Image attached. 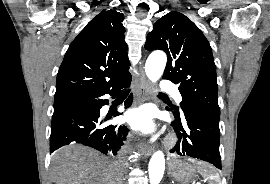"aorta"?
Returning <instances> with one entry per match:
<instances>
[{"instance_id": "1", "label": "aorta", "mask_w": 270, "mask_h": 184, "mask_svg": "<svg viewBox=\"0 0 270 184\" xmlns=\"http://www.w3.org/2000/svg\"><path fill=\"white\" fill-rule=\"evenodd\" d=\"M167 62V56L162 51L150 54L145 64L148 79L156 82L162 76ZM165 170V157L162 151H156L149 162L148 172L150 184H159Z\"/></svg>"}]
</instances>
